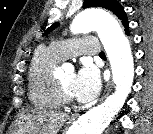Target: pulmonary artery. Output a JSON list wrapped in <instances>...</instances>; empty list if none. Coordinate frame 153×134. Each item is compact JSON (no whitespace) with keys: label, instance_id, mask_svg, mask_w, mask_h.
<instances>
[{"label":"pulmonary artery","instance_id":"1","mask_svg":"<svg viewBox=\"0 0 153 134\" xmlns=\"http://www.w3.org/2000/svg\"><path fill=\"white\" fill-rule=\"evenodd\" d=\"M50 49L61 60L80 54L98 55L101 52L99 41L95 37L53 42Z\"/></svg>","mask_w":153,"mask_h":134}]
</instances>
